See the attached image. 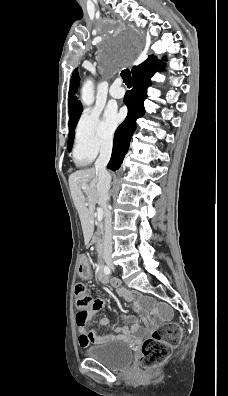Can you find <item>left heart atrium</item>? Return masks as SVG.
Listing matches in <instances>:
<instances>
[{
    "instance_id": "obj_1",
    "label": "left heart atrium",
    "mask_w": 228,
    "mask_h": 396,
    "mask_svg": "<svg viewBox=\"0 0 228 396\" xmlns=\"http://www.w3.org/2000/svg\"><path fill=\"white\" fill-rule=\"evenodd\" d=\"M105 120L108 127L113 130L120 123L121 117L115 108L109 107L105 112Z\"/></svg>"
}]
</instances>
